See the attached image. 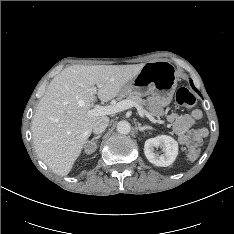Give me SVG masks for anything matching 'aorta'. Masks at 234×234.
<instances>
[{"label": "aorta", "instance_id": "aorta-1", "mask_svg": "<svg viewBox=\"0 0 234 234\" xmlns=\"http://www.w3.org/2000/svg\"><path fill=\"white\" fill-rule=\"evenodd\" d=\"M131 131V125L128 121L122 120L117 124V132L123 135L129 134Z\"/></svg>", "mask_w": 234, "mask_h": 234}]
</instances>
